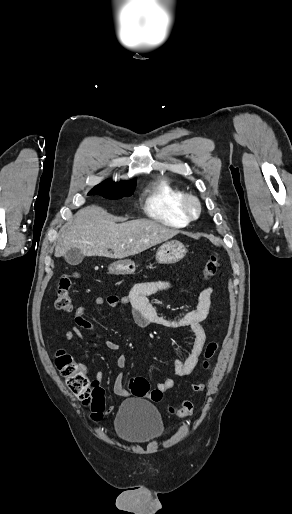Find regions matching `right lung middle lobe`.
<instances>
[{"mask_svg": "<svg viewBox=\"0 0 292 514\" xmlns=\"http://www.w3.org/2000/svg\"><path fill=\"white\" fill-rule=\"evenodd\" d=\"M136 181L114 183L111 180L95 186L88 195H99L107 199H120L131 196L134 192Z\"/></svg>", "mask_w": 292, "mask_h": 514, "instance_id": "obj_1", "label": "right lung middle lobe"}]
</instances>
